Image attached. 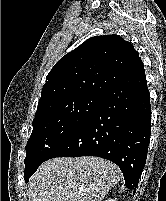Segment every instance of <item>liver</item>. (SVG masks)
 Segmentation results:
<instances>
[{"label":"liver","instance_id":"6515ba94","mask_svg":"<svg viewBox=\"0 0 166 201\" xmlns=\"http://www.w3.org/2000/svg\"><path fill=\"white\" fill-rule=\"evenodd\" d=\"M121 179L112 162L94 156L45 161L28 185L30 201H102Z\"/></svg>","mask_w":166,"mask_h":201}]
</instances>
